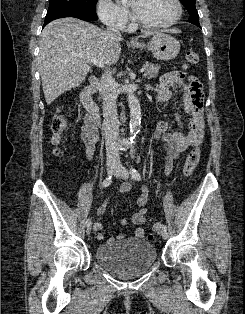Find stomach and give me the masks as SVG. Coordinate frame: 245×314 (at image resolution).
I'll return each mask as SVG.
<instances>
[{
    "mask_svg": "<svg viewBox=\"0 0 245 314\" xmlns=\"http://www.w3.org/2000/svg\"><path fill=\"white\" fill-rule=\"evenodd\" d=\"M132 47L149 49L153 55L163 61L174 59L180 51V43L171 35L158 33L153 35L152 39L147 43H134Z\"/></svg>",
    "mask_w": 245,
    "mask_h": 314,
    "instance_id": "0dacf381",
    "label": "stomach"
}]
</instances>
